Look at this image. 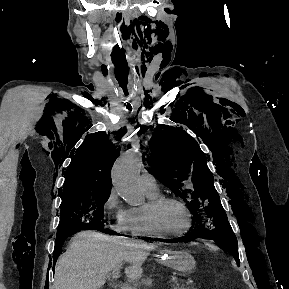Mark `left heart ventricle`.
Returning a JSON list of instances; mask_svg holds the SVG:
<instances>
[{
	"mask_svg": "<svg viewBox=\"0 0 289 289\" xmlns=\"http://www.w3.org/2000/svg\"><path fill=\"white\" fill-rule=\"evenodd\" d=\"M160 227L169 232H179L188 224V217L182 207L173 202L163 204L157 212Z\"/></svg>",
	"mask_w": 289,
	"mask_h": 289,
	"instance_id": "b2bd125f",
	"label": "left heart ventricle"
}]
</instances>
